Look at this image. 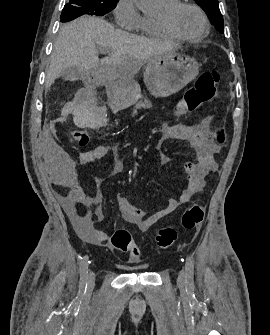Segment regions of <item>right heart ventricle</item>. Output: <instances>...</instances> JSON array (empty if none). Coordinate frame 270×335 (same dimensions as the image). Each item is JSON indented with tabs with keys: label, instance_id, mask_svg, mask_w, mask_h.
<instances>
[{
	"label": "right heart ventricle",
	"instance_id": "obj_1",
	"mask_svg": "<svg viewBox=\"0 0 270 335\" xmlns=\"http://www.w3.org/2000/svg\"><path fill=\"white\" fill-rule=\"evenodd\" d=\"M160 6L163 9L169 8L170 6L174 5L175 3L179 2L178 0L172 2H162L158 0ZM142 33L146 34L149 37L157 38V39H173L175 37L168 34L158 23L157 17H149L147 15L141 16L140 23L138 28Z\"/></svg>",
	"mask_w": 270,
	"mask_h": 335
}]
</instances>
